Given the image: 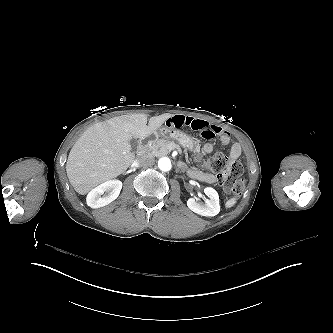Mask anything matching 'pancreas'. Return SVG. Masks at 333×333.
I'll return each instance as SVG.
<instances>
[{"instance_id":"obj_1","label":"pancreas","mask_w":333,"mask_h":333,"mask_svg":"<svg viewBox=\"0 0 333 333\" xmlns=\"http://www.w3.org/2000/svg\"><path fill=\"white\" fill-rule=\"evenodd\" d=\"M174 144L175 142L165 138L156 139L149 145L146 154L149 156L167 155L171 151Z\"/></svg>"}]
</instances>
